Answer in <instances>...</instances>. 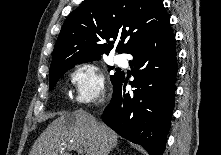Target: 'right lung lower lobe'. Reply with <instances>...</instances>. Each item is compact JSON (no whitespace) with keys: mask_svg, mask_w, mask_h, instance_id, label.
<instances>
[{"mask_svg":"<svg viewBox=\"0 0 221 155\" xmlns=\"http://www.w3.org/2000/svg\"><path fill=\"white\" fill-rule=\"evenodd\" d=\"M175 47L170 23L141 38L129 52L134 57L130 85L136 89L126 92L127 79L120 73L102 115L116 133L142 145L149 155H162L165 149L178 71Z\"/></svg>","mask_w":221,"mask_h":155,"instance_id":"1","label":"right lung lower lobe"}]
</instances>
